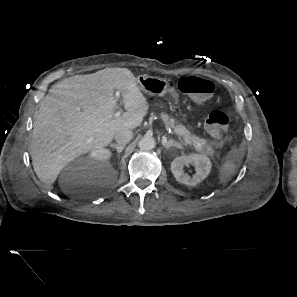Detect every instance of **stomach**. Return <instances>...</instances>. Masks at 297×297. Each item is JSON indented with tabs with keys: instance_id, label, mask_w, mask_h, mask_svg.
I'll return each mask as SVG.
<instances>
[{
	"instance_id": "stomach-1",
	"label": "stomach",
	"mask_w": 297,
	"mask_h": 297,
	"mask_svg": "<svg viewBox=\"0 0 297 297\" xmlns=\"http://www.w3.org/2000/svg\"><path fill=\"white\" fill-rule=\"evenodd\" d=\"M137 82L139 88L151 96H164L168 91H171L168 81L163 78L140 75Z\"/></svg>"
}]
</instances>
